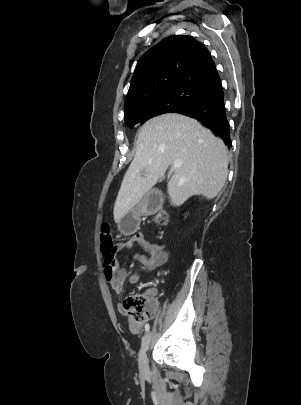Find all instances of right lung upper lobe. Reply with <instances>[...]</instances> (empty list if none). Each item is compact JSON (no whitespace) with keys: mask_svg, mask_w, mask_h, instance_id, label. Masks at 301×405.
I'll return each mask as SVG.
<instances>
[{"mask_svg":"<svg viewBox=\"0 0 301 405\" xmlns=\"http://www.w3.org/2000/svg\"><path fill=\"white\" fill-rule=\"evenodd\" d=\"M179 87L209 94L222 88L207 48L190 36L163 39L139 60L127 93V113L145 97Z\"/></svg>","mask_w":301,"mask_h":405,"instance_id":"right-lung-upper-lobe-1","label":"right lung upper lobe"}]
</instances>
